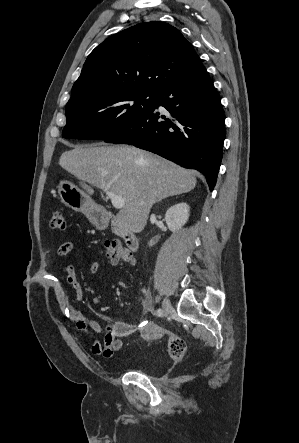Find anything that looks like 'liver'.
I'll list each match as a JSON object with an SVG mask.
<instances>
[{
    "label": "liver",
    "instance_id": "liver-1",
    "mask_svg": "<svg viewBox=\"0 0 299 443\" xmlns=\"http://www.w3.org/2000/svg\"><path fill=\"white\" fill-rule=\"evenodd\" d=\"M59 164L82 181L91 194L93 187L108 189L125 200L117 214L128 231L141 232L150 210L158 201L193 190V171L135 147L86 145L65 151Z\"/></svg>",
    "mask_w": 299,
    "mask_h": 443
}]
</instances>
